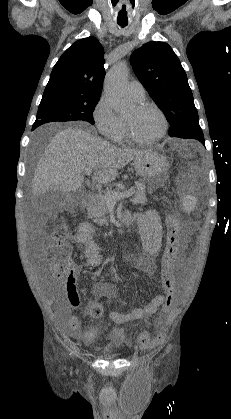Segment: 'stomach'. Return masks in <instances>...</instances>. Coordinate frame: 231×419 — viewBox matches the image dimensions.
<instances>
[{
	"label": "stomach",
	"mask_w": 231,
	"mask_h": 419,
	"mask_svg": "<svg viewBox=\"0 0 231 419\" xmlns=\"http://www.w3.org/2000/svg\"><path fill=\"white\" fill-rule=\"evenodd\" d=\"M134 167L142 181L151 190L165 182L168 163L166 158L158 151L149 150L135 158Z\"/></svg>",
	"instance_id": "0dacf381"
}]
</instances>
